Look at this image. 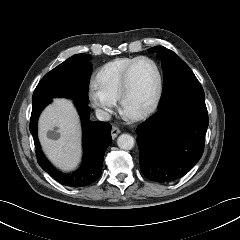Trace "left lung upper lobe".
<instances>
[{
    "instance_id": "5c2ea615",
    "label": "left lung upper lobe",
    "mask_w": 240,
    "mask_h": 240,
    "mask_svg": "<svg viewBox=\"0 0 240 240\" xmlns=\"http://www.w3.org/2000/svg\"><path fill=\"white\" fill-rule=\"evenodd\" d=\"M162 60L163 92L158 109L171 100L182 96L205 98L203 88L189 66L173 51L165 47H152Z\"/></svg>"
}]
</instances>
